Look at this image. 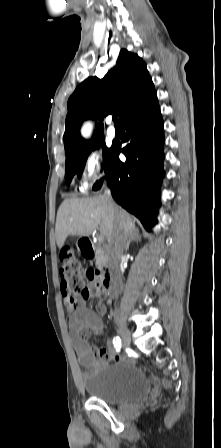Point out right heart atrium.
<instances>
[{"label": "right heart atrium", "mask_w": 221, "mask_h": 448, "mask_svg": "<svg viewBox=\"0 0 221 448\" xmlns=\"http://www.w3.org/2000/svg\"><path fill=\"white\" fill-rule=\"evenodd\" d=\"M104 164L101 154L97 152L89 153L83 163L81 174V187L90 188L93 183L99 181L104 176Z\"/></svg>", "instance_id": "obj_1"}]
</instances>
